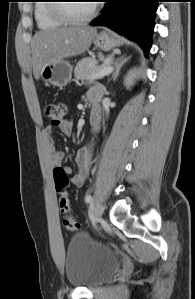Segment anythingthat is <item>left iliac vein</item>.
<instances>
[{"label":"left iliac vein","mask_w":195,"mask_h":299,"mask_svg":"<svg viewBox=\"0 0 195 299\" xmlns=\"http://www.w3.org/2000/svg\"><path fill=\"white\" fill-rule=\"evenodd\" d=\"M102 214H103V206L101 203L96 202L93 205V217L95 221H98L101 218Z\"/></svg>","instance_id":"obj_1"}]
</instances>
